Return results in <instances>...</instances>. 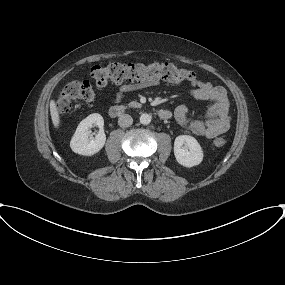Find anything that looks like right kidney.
<instances>
[{
  "instance_id": "1",
  "label": "right kidney",
  "mask_w": 285,
  "mask_h": 285,
  "mask_svg": "<svg viewBox=\"0 0 285 285\" xmlns=\"http://www.w3.org/2000/svg\"><path fill=\"white\" fill-rule=\"evenodd\" d=\"M94 125L100 129L95 137L91 135V128ZM103 126L104 119L98 113L90 114L83 119L70 141L72 151L83 156H92L99 152L106 142Z\"/></svg>"
}]
</instances>
